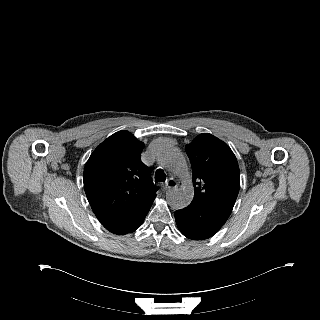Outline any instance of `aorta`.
I'll return each instance as SVG.
<instances>
[{
    "mask_svg": "<svg viewBox=\"0 0 320 320\" xmlns=\"http://www.w3.org/2000/svg\"><path fill=\"white\" fill-rule=\"evenodd\" d=\"M158 161L166 170L180 175L189 181L187 162L183 154L177 148L171 146L163 148L158 155ZM193 195L194 192L192 187L187 185L170 192L167 196V200L173 209H183L191 203Z\"/></svg>",
    "mask_w": 320,
    "mask_h": 320,
    "instance_id": "762f6f07",
    "label": "aorta"
}]
</instances>
